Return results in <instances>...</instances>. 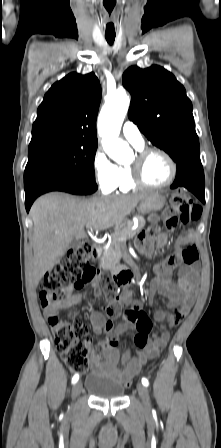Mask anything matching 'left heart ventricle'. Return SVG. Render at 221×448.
Here are the masks:
<instances>
[{
  "label": "left heart ventricle",
  "instance_id": "b2bd125f",
  "mask_svg": "<svg viewBox=\"0 0 221 448\" xmlns=\"http://www.w3.org/2000/svg\"><path fill=\"white\" fill-rule=\"evenodd\" d=\"M143 174L148 183L159 185L170 178L171 168L162 155L154 153L147 158Z\"/></svg>",
  "mask_w": 221,
  "mask_h": 448
}]
</instances>
